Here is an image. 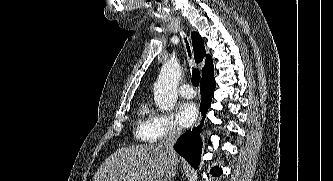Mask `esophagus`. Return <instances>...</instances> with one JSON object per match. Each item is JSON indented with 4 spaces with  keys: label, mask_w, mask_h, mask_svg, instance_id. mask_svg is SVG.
I'll return each mask as SVG.
<instances>
[{
    "label": "esophagus",
    "mask_w": 333,
    "mask_h": 181,
    "mask_svg": "<svg viewBox=\"0 0 333 181\" xmlns=\"http://www.w3.org/2000/svg\"><path fill=\"white\" fill-rule=\"evenodd\" d=\"M201 119H202V116L200 114L199 117H198L197 125L200 123Z\"/></svg>",
    "instance_id": "obj_1"
}]
</instances>
